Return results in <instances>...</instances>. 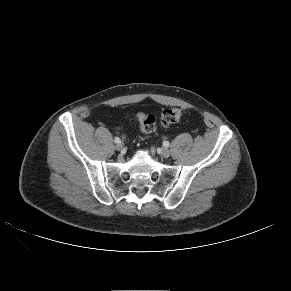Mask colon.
Listing matches in <instances>:
<instances>
[{"label": "colon", "instance_id": "obj_1", "mask_svg": "<svg viewBox=\"0 0 291 291\" xmlns=\"http://www.w3.org/2000/svg\"><path fill=\"white\" fill-rule=\"evenodd\" d=\"M182 110L178 108H166L163 109L161 114H160V124L162 126H169L177 121L180 120L182 117ZM137 119L139 122L140 130L143 133H151L155 130L156 128V119L153 115H148L142 112L137 113Z\"/></svg>", "mask_w": 291, "mask_h": 291}]
</instances>
